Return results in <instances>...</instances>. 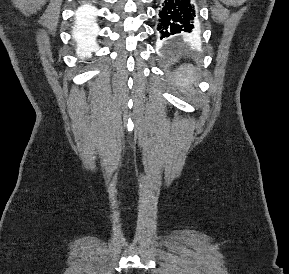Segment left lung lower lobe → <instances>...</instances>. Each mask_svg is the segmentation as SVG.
<instances>
[{
    "mask_svg": "<svg viewBox=\"0 0 289 274\" xmlns=\"http://www.w3.org/2000/svg\"><path fill=\"white\" fill-rule=\"evenodd\" d=\"M157 30L159 39L165 43H176L195 37L198 28L192 0H163Z\"/></svg>",
    "mask_w": 289,
    "mask_h": 274,
    "instance_id": "obj_1",
    "label": "left lung lower lobe"
}]
</instances>
